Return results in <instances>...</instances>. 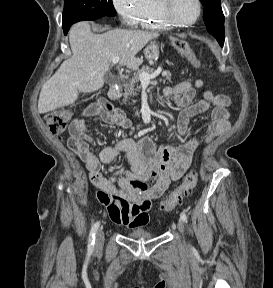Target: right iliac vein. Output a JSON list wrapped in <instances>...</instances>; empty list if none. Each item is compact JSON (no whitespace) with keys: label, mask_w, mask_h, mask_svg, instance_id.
<instances>
[{"label":"right iliac vein","mask_w":273,"mask_h":288,"mask_svg":"<svg viewBox=\"0 0 273 288\" xmlns=\"http://www.w3.org/2000/svg\"><path fill=\"white\" fill-rule=\"evenodd\" d=\"M104 243V231L101 229L97 234L96 248L100 249Z\"/></svg>","instance_id":"1"}]
</instances>
